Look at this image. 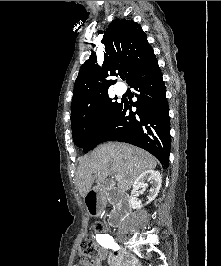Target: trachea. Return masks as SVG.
<instances>
[{"mask_svg":"<svg viewBox=\"0 0 221 266\" xmlns=\"http://www.w3.org/2000/svg\"><path fill=\"white\" fill-rule=\"evenodd\" d=\"M120 78H121L122 80H125V76H124V75H120Z\"/></svg>","mask_w":221,"mask_h":266,"instance_id":"3493384b","label":"trachea"}]
</instances>
